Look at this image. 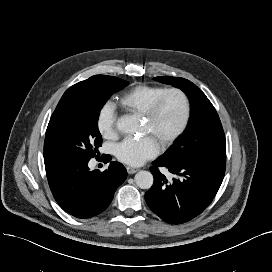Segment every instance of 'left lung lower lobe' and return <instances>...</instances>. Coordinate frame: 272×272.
<instances>
[{
	"mask_svg": "<svg viewBox=\"0 0 272 272\" xmlns=\"http://www.w3.org/2000/svg\"><path fill=\"white\" fill-rule=\"evenodd\" d=\"M150 167L154 183L145 194L150 209L170 224H182L201 214L212 202L223 181L226 157L193 160L158 158ZM165 167L176 177L168 181Z\"/></svg>",
	"mask_w": 272,
	"mask_h": 272,
	"instance_id": "left-lung-lower-lobe-1",
	"label": "left lung lower lobe"
}]
</instances>
